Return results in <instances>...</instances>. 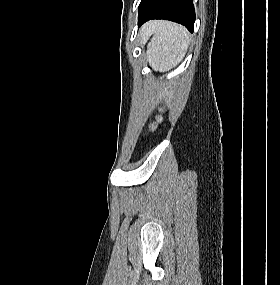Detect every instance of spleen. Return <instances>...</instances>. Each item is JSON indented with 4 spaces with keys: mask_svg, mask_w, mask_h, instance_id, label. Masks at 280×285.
Here are the masks:
<instances>
[{
    "mask_svg": "<svg viewBox=\"0 0 280 285\" xmlns=\"http://www.w3.org/2000/svg\"><path fill=\"white\" fill-rule=\"evenodd\" d=\"M145 30L153 34L146 53L153 69L166 72L182 61L190 43L189 34L184 27L171 22L156 21L148 24Z\"/></svg>",
    "mask_w": 280,
    "mask_h": 285,
    "instance_id": "1",
    "label": "spleen"
}]
</instances>
